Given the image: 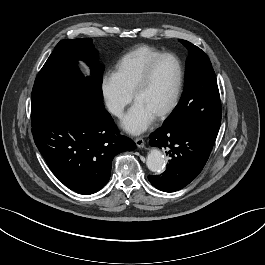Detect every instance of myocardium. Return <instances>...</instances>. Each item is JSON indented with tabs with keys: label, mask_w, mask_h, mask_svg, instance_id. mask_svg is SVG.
<instances>
[{
	"label": "myocardium",
	"mask_w": 265,
	"mask_h": 265,
	"mask_svg": "<svg viewBox=\"0 0 265 265\" xmlns=\"http://www.w3.org/2000/svg\"><path fill=\"white\" fill-rule=\"evenodd\" d=\"M165 58H171L176 62L178 78L173 98L169 105L155 116V119L157 120H161L169 116L175 110L180 101L184 83V69L180 59L173 53H161L153 58L144 68L131 93V100L134 102L135 98L146 88L147 84L149 83L156 65Z\"/></svg>",
	"instance_id": "f54148a6"
}]
</instances>
